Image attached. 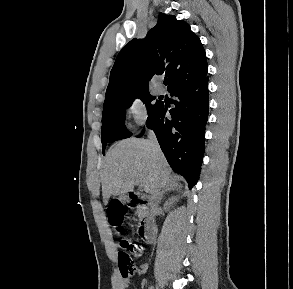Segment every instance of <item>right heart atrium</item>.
<instances>
[{
    "instance_id": "right-heart-atrium-1",
    "label": "right heart atrium",
    "mask_w": 293,
    "mask_h": 289,
    "mask_svg": "<svg viewBox=\"0 0 293 289\" xmlns=\"http://www.w3.org/2000/svg\"><path fill=\"white\" fill-rule=\"evenodd\" d=\"M126 111L134 126L142 127L146 124L148 112L147 107L141 98L132 99L127 104Z\"/></svg>"
}]
</instances>
